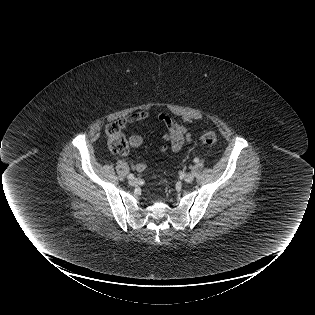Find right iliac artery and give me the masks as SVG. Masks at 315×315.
<instances>
[{
    "label": "right iliac artery",
    "mask_w": 315,
    "mask_h": 315,
    "mask_svg": "<svg viewBox=\"0 0 315 315\" xmlns=\"http://www.w3.org/2000/svg\"><path fill=\"white\" fill-rule=\"evenodd\" d=\"M134 178V175L133 174H129L128 175V179H133Z\"/></svg>",
    "instance_id": "1"
}]
</instances>
